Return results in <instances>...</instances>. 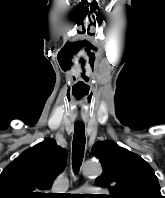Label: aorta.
<instances>
[{
  "mask_svg": "<svg viewBox=\"0 0 165 198\" xmlns=\"http://www.w3.org/2000/svg\"><path fill=\"white\" fill-rule=\"evenodd\" d=\"M82 172L85 176L100 175L102 173V168L99 163L87 162L82 167Z\"/></svg>",
  "mask_w": 165,
  "mask_h": 198,
  "instance_id": "aorta-1",
  "label": "aorta"
}]
</instances>
